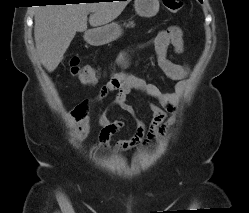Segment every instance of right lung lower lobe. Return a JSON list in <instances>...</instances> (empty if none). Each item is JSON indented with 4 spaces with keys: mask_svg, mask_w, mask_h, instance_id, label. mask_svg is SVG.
<instances>
[{
    "mask_svg": "<svg viewBox=\"0 0 249 213\" xmlns=\"http://www.w3.org/2000/svg\"><path fill=\"white\" fill-rule=\"evenodd\" d=\"M65 1H66V0H47V2L59 3V4L66 3ZM125 1H126V0H125ZM59 4H58V5H59Z\"/></svg>",
    "mask_w": 249,
    "mask_h": 213,
    "instance_id": "obj_1",
    "label": "right lung lower lobe"
}]
</instances>
